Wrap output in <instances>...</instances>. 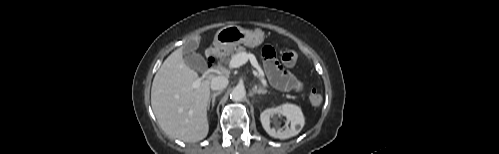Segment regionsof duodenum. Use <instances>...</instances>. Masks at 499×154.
I'll use <instances>...</instances> for the list:
<instances>
[{"label":"duodenum","mask_w":499,"mask_h":154,"mask_svg":"<svg viewBox=\"0 0 499 154\" xmlns=\"http://www.w3.org/2000/svg\"><path fill=\"white\" fill-rule=\"evenodd\" d=\"M207 58H208V62H209L208 65H209V67H211L214 64V62H215V60L217 58L216 50L215 49H210L207 52Z\"/></svg>","instance_id":"410a0bca"}]
</instances>
